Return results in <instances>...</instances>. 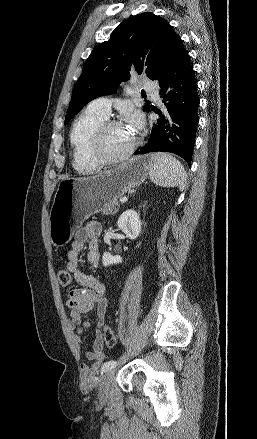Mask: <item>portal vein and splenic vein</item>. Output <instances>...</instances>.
Segmentation results:
<instances>
[{
	"label": "portal vein and splenic vein",
	"mask_w": 257,
	"mask_h": 439,
	"mask_svg": "<svg viewBox=\"0 0 257 439\" xmlns=\"http://www.w3.org/2000/svg\"><path fill=\"white\" fill-rule=\"evenodd\" d=\"M127 200H128V197H126V196H124V197H122V198L120 199L121 202H125V201H127Z\"/></svg>",
	"instance_id": "1"
}]
</instances>
